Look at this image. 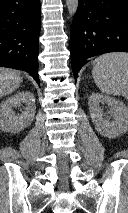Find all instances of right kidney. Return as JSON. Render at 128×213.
I'll use <instances>...</instances> for the list:
<instances>
[{
  "mask_svg": "<svg viewBox=\"0 0 128 213\" xmlns=\"http://www.w3.org/2000/svg\"><path fill=\"white\" fill-rule=\"evenodd\" d=\"M25 105L21 114H15L13 108ZM35 116V97L30 91H21L0 104V129L4 132L19 133L27 128Z\"/></svg>",
  "mask_w": 128,
  "mask_h": 213,
  "instance_id": "right-kidney-1",
  "label": "right kidney"
}]
</instances>
